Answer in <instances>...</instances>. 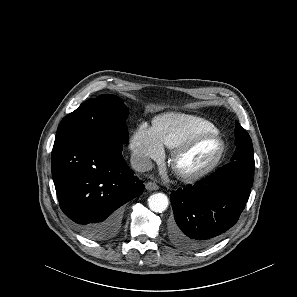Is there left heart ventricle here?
<instances>
[{"label": "left heart ventricle", "instance_id": "left-heart-ventricle-1", "mask_svg": "<svg viewBox=\"0 0 297 297\" xmlns=\"http://www.w3.org/2000/svg\"><path fill=\"white\" fill-rule=\"evenodd\" d=\"M217 147V142L213 138L200 141L180 159V168L186 171H193L204 166L214 156Z\"/></svg>", "mask_w": 297, "mask_h": 297}]
</instances>
